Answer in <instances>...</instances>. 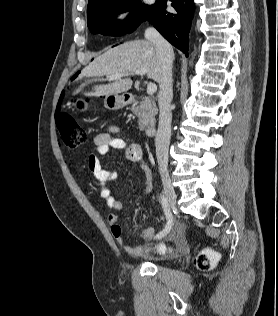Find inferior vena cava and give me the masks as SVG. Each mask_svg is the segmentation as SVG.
<instances>
[{"mask_svg":"<svg viewBox=\"0 0 278 316\" xmlns=\"http://www.w3.org/2000/svg\"><path fill=\"white\" fill-rule=\"evenodd\" d=\"M145 38L152 42L158 52L162 62V79L159 83L158 105H159V125L155 137L156 157L159 171H168V148L171 137L172 113L170 104L173 97L172 91V64L174 53L172 46L153 27L147 28Z\"/></svg>","mask_w":278,"mask_h":316,"instance_id":"obj_1","label":"inferior vena cava"}]
</instances>
